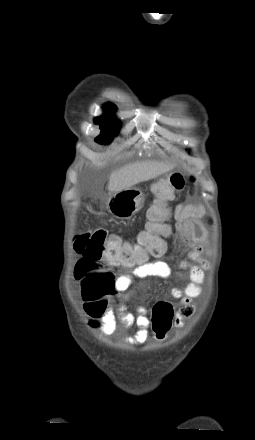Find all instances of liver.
<instances>
[{
    "instance_id": "obj_1",
    "label": "liver",
    "mask_w": 255,
    "mask_h": 440,
    "mask_svg": "<svg viewBox=\"0 0 255 440\" xmlns=\"http://www.w3.org/2000/svg\"><path fill=\"white\" fill-rule=\"evenodd\" d=\"M171 169V165L157 161H143L126 165L111 174L108 191L110 193L120 192L140 182L154 179Z\"/></svg>"
}]
</instances>
